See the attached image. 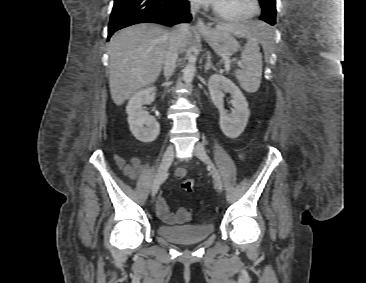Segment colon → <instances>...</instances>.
I'll use <instances>...</instances> for the list:
<instances>
[{
    "label": "colon",
    "mask_w": 366,
    "mask_h": 283,
    "mask_svg": "<svg viewBox=\"0 0 366 283\" xmlns=\"http://www.w3.org/2000/svg\"><path fill=\"white\" fill-rule=\"evenodd\" d=\"M195 185V180L192 178H187L181 183V187L187 192H192L195 189Z\"/></svg>",
    "instance_id": "5ec220e1"
}]
</instances>
